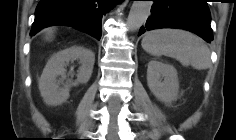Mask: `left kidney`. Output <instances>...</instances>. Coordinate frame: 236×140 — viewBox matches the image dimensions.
<instances>
[{
  "mask_svg": "<svg viewBox=\"0 0 236 140\" xmlns=\"http://www.w3.org/2000/svg\"><path fill=\"white\" fill-rule=\"evenodd\" d=\"M147 83L150 91L162 102L169 103L178 96V76L172 65L151 60L148 63Z\"/></svg>",
  "mask_w": 236,
  "mask_h": 140,
  "instance_id": "left-kidney-1",
  "label": "left kidney"
}]
</instances>
